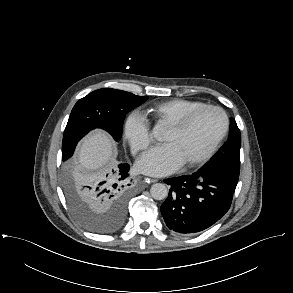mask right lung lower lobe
<instances>
[{
	"label": "right lung lower lobe",
	"mask_w": 293,
	"mask_h": 293,
	"mask_svg": "<svg viewBox=\"0 0 293 293\" xmlns=\"http://www.w3.org/2000/svg\"><path fill=\"white\" fill-rule=\"evenodd\" d=\"M129 168L126 163L120 164L116 171L82 184L81 196L85 205L99 213L120 218L123 223L127 214ZM122 223L109 232L117 230Z\"/></svg>",
	"instance_id": "98d812e1"
}]
</instances>
